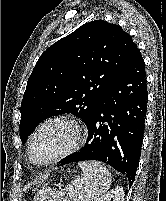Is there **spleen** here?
<instances>
[{
	"label": "spleen",
	"instance_id": "3e777b00",
	"mask_svg": "<svg viewBox=\"0 0 166 201\" xmlns=\"http://www.w3.org/2000/svg\"><path fill=\"white\" fill-rule=\"evenodd\" d=\"M82 177L74 179L64 190L46 188L39 192L40 201H100L111 185L110 172L100 163H78Z\"/></svg>",
	"mask_w": 166,
	"mask_h": 201
}]
</instances>
